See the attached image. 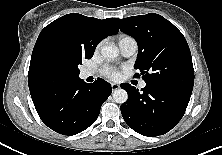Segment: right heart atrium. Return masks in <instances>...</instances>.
<instances>
[{"label": "right heart atrium", "mask_w": 222, "mask_h": 155, "mask_svg": "<svg viewBox=\"0 0 222 155\" xmlns=\"http://www.w3.org/2000/svg\"><path fill=\"white\" fill-rule=\"evenodd\" d=\"M100 46H101V43H99V44L97 45V47H96V51L99 50Z\"/></svg>", "instance_id": "1"}]
</instances>
